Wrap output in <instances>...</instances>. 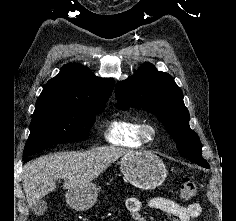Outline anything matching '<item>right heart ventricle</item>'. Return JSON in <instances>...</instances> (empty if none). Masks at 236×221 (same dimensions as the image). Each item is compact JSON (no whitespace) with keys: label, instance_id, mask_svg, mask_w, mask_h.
<instances>
[{"label":"right heart ventricle","instance_id":"obj_1","mask_svg":"<svg viewBox=\"0 0 236 221\" xmlns=\"http://www.w3.org/2000/svg\"><path fill=\"white\" fill-rule=\"evenodd\" d=\"M142 121L129 116H119L111 119L106 128L107 141L115 146L137 149L144 143L139 136Z\"/></svg>","mask_w":236,"mask_h":221}]
</instances>
